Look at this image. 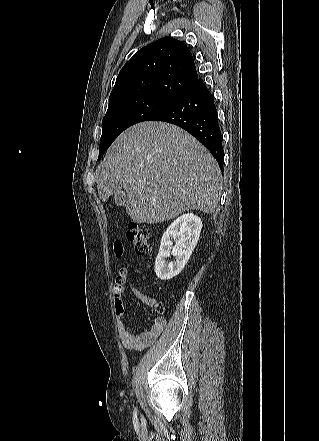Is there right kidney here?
<instances>
[{"label":"right kidney","instance_id":"ca27d5eb","mask_svg":"<svg viewBox=\"0 0 319 441\" xmlns=\"http://www.w3.org/2000/svg\"><path fill=\"white\" fill-rule=\"evenodd\" d=\"M201 229L202 220L192 213L183 214L169 225L161 238L155 261V273L159 279L169 280L182 271L199 240ZM170 252L175 259L167 263Z\"/></svg>","mask_w":319,"mask_h":441}]
</instances>
